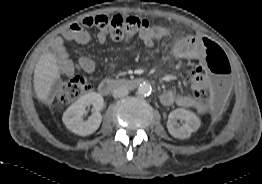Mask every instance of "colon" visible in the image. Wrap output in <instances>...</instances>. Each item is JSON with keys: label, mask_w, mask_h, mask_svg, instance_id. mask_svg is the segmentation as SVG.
Segmentation results:
<instances>
[{"label": "colon", "mask_w": 262, "mask_h": 184, "mask_svg": "<svg viewBox=\"0 0 262 184\" xmlns=\"http://www.w3.org/2000/svg\"><path fill=\"white\" fill-rule=\"evenodd\" d=\"M82 24L87 27H96L104 32L106 37L116 41L132 39L147 30L149 26L145 19L122 14L88 17L82 21ZM203 44L205 46L204 69L210 76L197 79L194 73L190 72L191 89L205 106L210 105L215 117H220L230 95L231 66L227 55L219 45L206 39ZM90 90L91 85L87 79L84 76H76L59 87L56 101L59 104H69Z\"/></svg>", "instance_id": "obj_1"}]
</instances>
